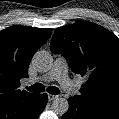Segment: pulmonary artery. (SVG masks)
Masks as SVG:
<instances>
[{"instance_id": "e3ab8cb5", "label": "pulmonary artery", "mask_w": 119, "mask_h": 119, "mask_svg": "<svg viewBox=\"0 0 119 119\" xmlns=\"http://www.w3.org/2000/svg\"><path fill=\"white\" fill-rule=\"evenodd\" d=\"M38 79L43 81L56 80L60 83L64 90L70 93H74L76 91L75 85L68 77L66 61L62 57H58L55 60L51 70Z\"/></svg>"}]
</instances>
